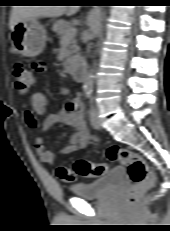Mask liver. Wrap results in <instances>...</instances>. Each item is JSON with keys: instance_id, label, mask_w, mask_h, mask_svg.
<instances>
[{"instance_id": "obj_1", "label": "liver", "mask_w": 170, "mask_h": 231, "mask_svg": "<svg viewBox=\"0 0 170 231\" xmlns=\"http://www.w3.org/2000/svg\"><path fill=\"white\" fill-rule=\"evenodd\" d=\"M78 10L79 6H13L9 27L13 30L16 24L30 18L71 16Z\"/></svg>"}]
</instances>
